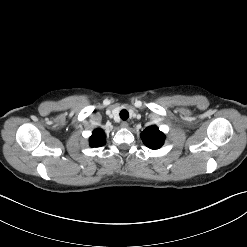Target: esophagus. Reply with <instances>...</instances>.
<instances>
[{
	"instance_id": "34e87169",
	"label": "esophagus",
	"mask_w": 247,
	"mask_h": 247,
	"mask_svg": "<svg viewBox=\"0 0 247 247\" xmlns=\"http://www.w3.org/2000/svg\"><path fill=\"white\" fill-rule=\"evenodd\" d=\"M121 127H122V128H127V127H128V123H127L126 121H123V122L121 123Z\"/></svg>"
}]
</instances>
